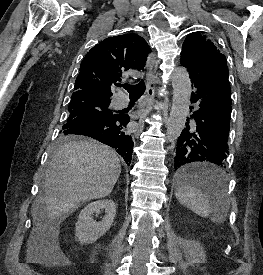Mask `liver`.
<instances>
[{
    "mask_svg": "<svg viewBox=\"0 0 263 275\" xmlns=\"http://www.w3.org/2000/svg\"><path fill=\"white\" fill-rule=\"evenodd\" d=\"M120 173L119 158L107 146L87 140L66 143L48 165L43 198L32 205L37 225L58 227L82 203L108 196Z\"/></svg>",
    "mask_w": 263,
    "mask_h": 275,
    "instance_id": "6515ba94",
    "label": "liver"
}]
</instances>
